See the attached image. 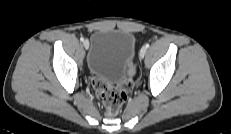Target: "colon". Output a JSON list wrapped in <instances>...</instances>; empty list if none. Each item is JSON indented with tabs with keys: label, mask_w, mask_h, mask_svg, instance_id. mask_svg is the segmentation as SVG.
Segmentation results:
<instances>
[{
	"label": "colon",
	"mask_w": 231,
	"mask_h": 134,
	"mask_svg": "<svg viewBox=\"0 0 231 134\" xmlns=\"http://www.w3.org/2000/svg\"><path fill=\"white\" fill-rule=\"evenodd\" d=\"M92 85L98 93L106 114L114 116L125 103L127 95L133 87V81L128 79L121 87L113 88L98 79H92Z\"/></svg>",
	"instance_id": "obj_1"
}]
</instances>
